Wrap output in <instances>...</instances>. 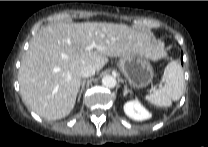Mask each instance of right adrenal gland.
I'll use <instances>...</instances> for the list:
<instances>
[{"label": "right adrenal gland", "mask_w": 208, "mask_h": 147, "mask_svg": "<svg viewBox=\"0 0 208 147\" xmlns=\"http://www.w3.org/2000/svg\"><path fill=\"white\" fill-rule=\"evenodd\" d=\"M85 83H86V80L84 79V80L82 81V83H81V89H80V91H79L78 101H79L80 98H81V95H82V92H83Z\"/></svg>", "instance_id": "1"}]
</instances>
